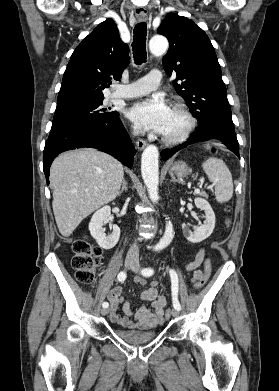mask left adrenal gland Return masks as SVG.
I'll return each mask as SVG.
<instances>
[{"label": "left adrenal gland", "instance_id": "a2214340", "mask_svg": "<svg viewBox=\"0 0 279 391\" xmlns=\"http://www.w3.org/2000/svg\"><path fill=\"white\" fill-rule=\"evenodd\" d=\"M170 182H177V183H182L181 181L177 180L173 175H171V180Z\"/></svg>", "mask_w": 279, "mask_h": 391}]
</instances>
